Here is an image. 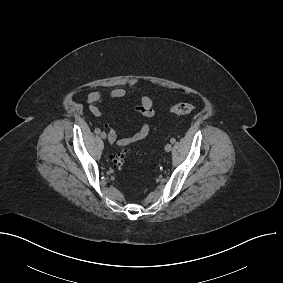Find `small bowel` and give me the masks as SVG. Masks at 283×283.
<instances>
[{
	"label": "small bowel",
	"instance_id": "1",
	"mask_svg": "<svg viewBox=\"0 0 283 283\" xmlns=\"http://www.w3.org/2000/svg\"><path fill=\"white\" fill-rule=\"evenodd\" d=\"M108 95L111 99H121L126 95V91L121 87H113L108 91ZM104 99V94L101 91H92L87 96V102L90 107V112L95 116H101V110L99 104ZM135 110L144 117L151 118L155 115L153 101L148 96H143ZM108 129V140L110 143H116L119 146H128L136 142L145 139L150 133V127L148 124L140 125L136 133L130 136L117 138L115 130L109 128L107 124L104 125Z\"/></svg>",
	"mask_w": 283,
	"mask_h": 283
}]
</instances>
